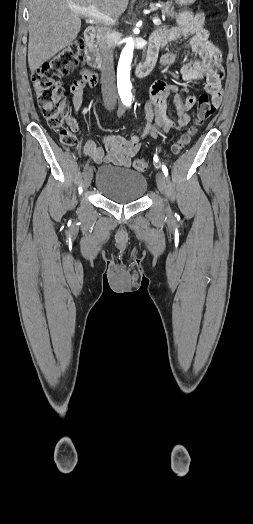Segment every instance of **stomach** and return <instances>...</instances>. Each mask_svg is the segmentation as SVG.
I'll list each match as a JSON object with an SVG mask.
<instances>
[{
    "instance_id": "0dacf381",
    "label": "stomach",
    "mask_w": 253,
    "mask_h": 524,
    "mask_svg": "<svg viewBox=\"0 0 253 524\" xmlns=\"http://www.w3.org/2000/svg\"><path fill=\"white\" fill-rule=\"evenodd\" d=\"M176 3L180 4V5H191L193 4L196 0H174Z\"/></svg>"
}]
</instances>
